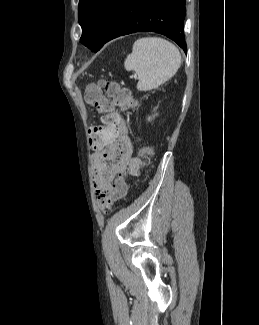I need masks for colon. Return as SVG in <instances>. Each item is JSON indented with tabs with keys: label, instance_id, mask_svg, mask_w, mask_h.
Instances as JSON below:
<instances>
[{
	"label": "colon",
	"instance_id": "5ec220e1",
	"mask_svg": "<svg viewBox=\"0 0 259 325\" xmlns=\"http://www.w3.org/2000/svg\"><path fill=\"white\" fill-rule=\"evenodd\" d=\"M85 100L100 111L106 110L110 104H114L122 110H131L136 106V100L127 87L117 81L105 79L91 82L86 86ZM103 121L106 125H112L114 122L113 118L108 114L103 117ZM100 130L101 127L89 125L88 131L90 133L88 141L98 142ZM141 155L148 158L151 156V150L149 148H143ZM126 193L127 183L124 175H121L116 179L113 190L110 193H102L98 196L100 209L104 212L111 210L117 201L122 200L126 196Z\"/></svg>",
	"mask_w": 259,
	"mask_h": 325
}]
</instances>
